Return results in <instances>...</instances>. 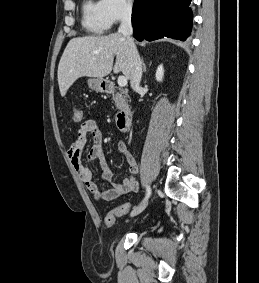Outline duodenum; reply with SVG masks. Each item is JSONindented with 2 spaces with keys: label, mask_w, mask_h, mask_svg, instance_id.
Wrapping results in <instances>:
<instances>
[{
  "label": "duodenum",
  "mask_w": 259,
  "mask_h": 283,
  "mask_svg": "<svg viewBox=\"0 0 259 283\" xmlns=\"http://www.w3.org/2000/svg\"><path fill=\"white\" fill-rule=\"evenodd\" d=\"M114 89H115L114 85L109 82L104 86V90L106 92H113ZM116 121H117L118 129L121 132H127L129 130L132 121L131 111L129 109H123L119 111L116 117Z\"/></svg>",
  "instance_id": "obj_1"
}]
</instances>
